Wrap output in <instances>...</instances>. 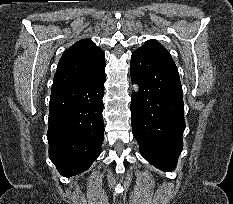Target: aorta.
Instances as JSON below:
<instances>
[{
    "mask_svg": "<svg viewBox=\"0 0 233 204\" xmlns=\"http://www.w3.org/2000/svg\"><path fill=\"white\" fill-rule=\"evenodd\" d=\"M132 89H133V91H134L135 93H138L140 87H139V85H138L137 83H134V84L132 85Z\"/></svg>",
    "mask_w": 233,
    "mask_h": 204,
    "instance_id": "762f6f07",
    "label": "aorta"
}]
</instances>
